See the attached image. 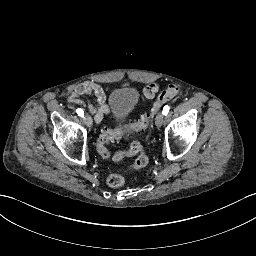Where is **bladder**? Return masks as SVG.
I'll list each match as a JSON object with an SVG mask.
<instances>
[{
  "instance_id": "31cf9c89",
  "label": "bladder",
  "mask_w": 256,
  "mask_h": 256,
  "mask_svg": "<svg viewBox=\"0 0 256 256\" xmlns=\"http://www.w3.org/2000/svg\"><path fill=\"white\" fill-rule=\"evenodd\" d=\"M138 102L137 93L125 89L117 90L111 96V115L115 121H123Z\"/></svg>"
}]
</instances>
